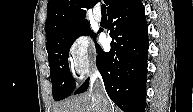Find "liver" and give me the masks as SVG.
<instances>
[{
    "label": "liver",
    "mask_w": 193,
    "mask_h": 112,
    "mask_svg": "<svg viewBox=\"0 0 193 112\" xmlns=\"http://www.w3.org/2000/svg\"><path fill=\"white\" fill-rule=\"evenodd\" d=\"M109 110H112L110 104ZM54 112H100V107L88 92L58 103Z\"/></svg>",
    "instance_id": "1"
}]
</instances>
